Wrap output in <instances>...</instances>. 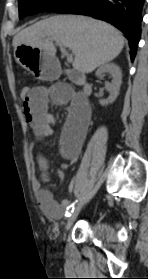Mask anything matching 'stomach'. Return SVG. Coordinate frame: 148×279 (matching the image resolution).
I'll use <instances>...</instances> for the list:
<instances>
[{"instance_id":"0dacf381","label":"stomach","mask_w":148,"mask_h":279,"mask_svg":"<svg viewBox=\"0 0 148 279\" xmlns=\"http://www.w3.org/2000/svg\"><path fill=\"white\" fill-rule=\"evenodd\" d=\"M14 59L23 65L21 75H27V78H38V82H57L58 60L43 50L21 45L16 48Z\"/></svg>"}]
</instances>
